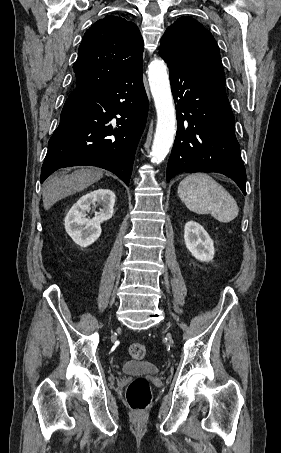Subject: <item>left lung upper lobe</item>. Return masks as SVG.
Masks as SVG:
<instances>
[{
    "label": "left lung upper lobe",
    "instance_id": "1",
    "mask_svg": "<svg viewBox=\"0 0 281 453\" xmlns=\"http://www.w3.org/2000/svg\"><path fill=\"white\" fill-rule=\"evenodd\" d=\"M159 51L189 68L224 71L215 39L192 17H180L166 30Z\"/></svg>",
    "mask_w": 281,
    "mask_h": 453
}]
</instances>
